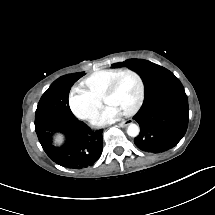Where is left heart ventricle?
Here are the masks:
<instances>
[{
	"label": "left heart ventricle",
	"mask_w": 215,
	"mask_h": 215,
	"mask_svg": "<svg viewBox=\"0 0 215 215\" xmlns=\"http://www.w3.org/2000/svg\"><path fill=\"white\" fill-rule=\"evenodd\" d=\"M135 85L132 78L123 76V81L117 92L110 96L112 104L120 106L122 104H131L134 96Z\"/></svg>",
	"instance_id": "b2bd125f"
}]
</instances>
